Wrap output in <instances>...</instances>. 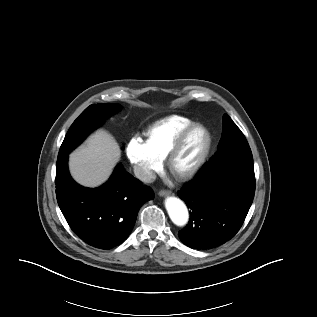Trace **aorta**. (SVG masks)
Here are the masks:
<instances>
[{
	"label": "aorta",
	"instance_id": "1",
	"mask_svg": "<svg viewBox=\"0 0 317 317\" xmlns=\"http://www.w3.org/2000/svg\"><path fill=\"white\" fill-rule=\"evenodd\" d=\"M165 207L171 221L179 227H183L189 220V213L186 205L176 197H168L165 200Z\"/></svg>",
	"mask_w": 317,
	"mask_h": 317
}]
</instances>
